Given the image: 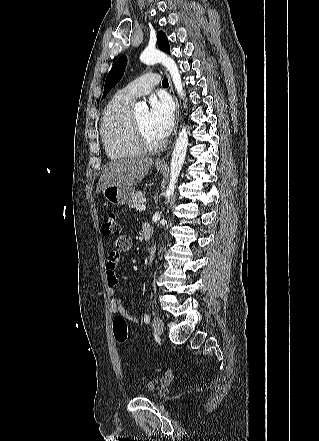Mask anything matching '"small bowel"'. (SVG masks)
<instances>
[{
	"label": "small bowel",
	"instance_id": "obj_1",
	"mask_svg": "<svg viewBox=\"0 0 319 441\" xmlns=\"http://www.w3.org/2000/svg\"><path fill=\"white\" fill-rule=\"evenodd\" d=\"M132 247V239L128 235H122L115 241V250L111 251L108 255L106 263V281H107V294L110 297V311L112 314H120L132 324L139 322L135 315L130 314L121 298L116 296V286L118 285V278L116 276V267L120 261L121 253L128 252Z\"/></svg>",
	"mask_w": 319,
	"mask_h": 441
}]
</instances>
